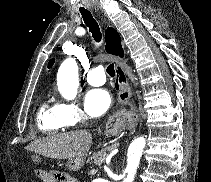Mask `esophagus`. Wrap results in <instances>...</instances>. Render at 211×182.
<instances>
[{"mask_svg":"<svg viewBox=\"0 0 211 182\" xmlns=\"http://www.w3.org/2000/svg\"><path fill=\"white\" fill-rule=\"evenodd\" d=\"M131 97V91L128 85L126 84H121L120 86V90L117 94V101L120 104H128L129 100ZM138 116H136L135 120H134V124L137 125L138 123ZM110 125H112V119L109 118V120L106 123V128H108Z\"/></svg>","mask_w":211,"mask_h":182,"instance_id":"1","label":"esophagus"}]
</instances>
